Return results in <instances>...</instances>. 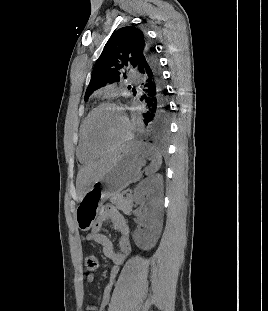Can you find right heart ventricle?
I'll list each match as a JSON object with an SVG mask.
<instances>
[{
    "label": "right heart ventricle",
    "instance_id": "right-heart-ventricle-1",
    "mask_svg": "<svg viewBox=\"0 0 268 311\" xmlns=\"http://www.w3.org/2000/svg\"><path fill=\"white\" fill-rule=\"evenodd\" d=\"M84 121L82 122L80 126V134H79V142H78V148H77V156L79 160L82 163H91L94 160H96L97 156L89 152V150L86 148L83 138V127H84Z\"/></svg>",
    "mask_w": 268,
    "mask_h": 311
}]
</instances>
